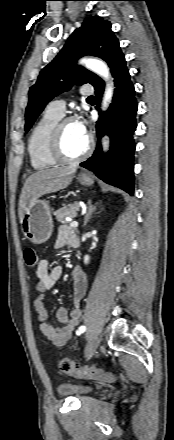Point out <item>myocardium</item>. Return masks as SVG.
Instances as JSON below:
<instances>
[{"label": "myocardium", "instance_id": "f54148a6", "mask_svg": "<svg viewBox=\"0 0 174 440\" xmlns=\"http://www.w3.org/2000/svg\"><path fill=\"white\" fill-rule=\"evenodd\" d=\"M72 121H73V118H71V117L63 118L56 123V125L52 131L51 141H50V152H51L52 157L58 163H63V164L78 163V162L82 161L83 159H85L90 154V152L92 150L93 139L91 136H89L88 140H87V146H86L85 150L80 155H78L76 157H68L64 153L63 147H62L63 127L66 123L72 122Z\"/></svg>", "mask_w": 174, "mask_h": 440}]
</instances>
